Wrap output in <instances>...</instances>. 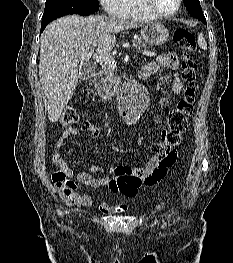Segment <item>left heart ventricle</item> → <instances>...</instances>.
<instances>
[{
  "instance_id": "left-heart-ventricle-1",
  "label": "left heart ventricle",
  "mask_w": 233,
  "mask_h": 263,
  "mask_svg": "<svg viewBox=\"0 0 233 263\" xmlns=\"http://www.w3.org/2000/svg\"><path fill=\"white\" fill-rule=\"evenodd\" d=\"M155 8L162 13H171L175 10L177 0H152Z\"/></svg>"
}]
</instances>
